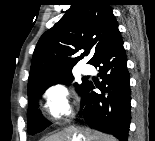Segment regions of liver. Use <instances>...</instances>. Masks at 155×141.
I'll list each match as a JSON object with an SVG mask.
<instances>
[{
  "label": "liver",
  "mask_w": 155,
  "mask_h": 141,
  "mask_svg": "<svg viewBox=\"0 0 155 141\" xmlns=\"http://www.w3.org/2000/svg\"><path fill=\"white\" fill-rule=\"evenodd\" d=\"M116 141L111 135L89 128L68 127L51 135L45 141Z\"/></svg>",
  "instance_id": "obj_1"
}]
</instances>
